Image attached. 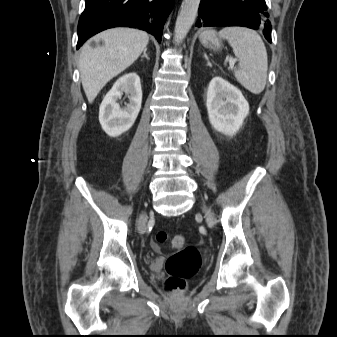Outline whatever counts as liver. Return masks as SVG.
<instances>
[{
  "label": "liver",
  "mask_w": 337,
  "mask_h": 337,
  "mask_svg": "<svg viewBox=\"0 0 337 337\" xmlns=\"http://www.w3.org/2000/svg\"><path fill=\"white\" fill-rule=\"evenodd\" d=\"M103 45L91 47L89 41L81 50L79 70L89 103L113 77L128 68L146 49L149 36L145 31L113 28L96 35L92 41Z\"/></svg>",
  "instance_id": "1"
}]
</instances>
